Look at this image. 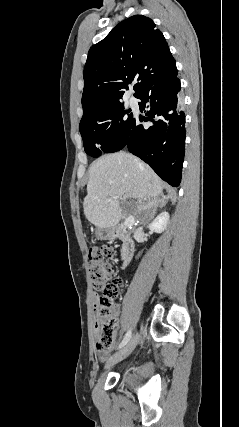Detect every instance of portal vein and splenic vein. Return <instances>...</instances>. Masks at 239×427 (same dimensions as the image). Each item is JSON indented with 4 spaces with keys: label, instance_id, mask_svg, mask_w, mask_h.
Here are the masks:
<instances>
[{
    "label": "portal vein and splenic vein",
    "instance_id": "1",
    "mask_svg": "<svg viewBox=\"0 0 239 427\" xmlns=\"http://www.w3.org/2000/svg\"><path fill=\"white\" fill-rule=\"evenodd\" d=\"M133 223H134V218H126L124 225L129 226V225H132Z\"/></svg>",
    "mask_w": 239,
    "mask_h": 427
}]
</instances>
